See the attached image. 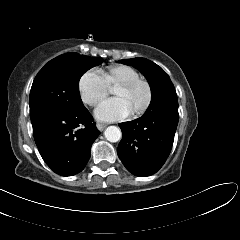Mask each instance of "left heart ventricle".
<instances>
[{
  "mask_svg": "<svg viewBox=\"0 0 240 240\" xmlns=\"http://www.w3.org/2000/svg\"><path fill=\"white\" fill-rule=\"evenodd\" d=\"M114 94L124 98L130 105L132 111L140 108L146 100V89L143 86H138L134 89L127 90L121 87L114 89Z\"/></svg>",
  "mask_w": 240,
  "mask_h": 240,
  "instance_id": "left-heart-ventricle-1",
  "label": "left heart ventricle"
}]
</instances>
